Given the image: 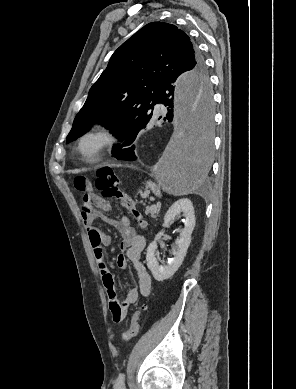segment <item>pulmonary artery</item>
<instances>
[{"label": "pulmonary artery", "instance_id": "pulmonary-artery-1", "mask_svg": "<svg viewBox=\"0 0 296 389\" xmlns=\"http://www.w3.org/2000/svg\"><path fill=\"white\" fill-rule=\"evenodd\" d=\"M155 108H156V109L161 108V104H157V105L155 106Z\"/></svg>", "mask_w": 296, "mask_h": 389}]
</instances>
